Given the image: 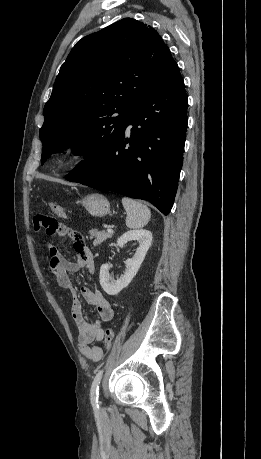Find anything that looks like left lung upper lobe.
Instances as JSON below:
<instances>
[{
  "mask_svg": "<svg viewBox=\"0 0 261 459\" xmlns=\"http://www.w3.org/2000/svg\"><path fill=\"white\" fill-rule=\"evenodd\" d=\"M175 63L157 31L135 19L82 38L61 66L44 107L41 164L53 151L75 144V154L82 150L86 156L74 170L96 169L133 109Z\"/></svg>",
  "mask_w": 261,
  "mask_h": 459,
  "instance_id": "obj_1",
  "label": "left lung upper lobe"
}]
</instances>
